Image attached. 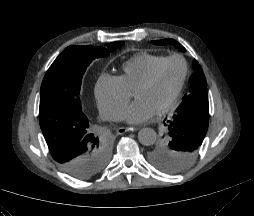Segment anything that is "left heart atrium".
<instances>
[{
    "mask_svg": "<svg viewBox=\"0 0 254 216\" xmlns=\"http://www.w3.org/2000/svg\"><path fill=\"white\" fill-rule=\"evenodd\" d=\"M156 110L147 102L136 99L124 112L123 118L129 124H139L148 121Z\"/></svg>",
    "mask_w": 254,
    "mask_h": 216,
    "instance_id": "left-heart-atrium-1",
    "label": "left heart atrium"
}]
</instances>
